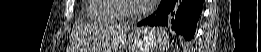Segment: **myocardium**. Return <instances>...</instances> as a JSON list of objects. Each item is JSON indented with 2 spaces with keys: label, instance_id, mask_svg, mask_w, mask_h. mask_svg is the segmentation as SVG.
<instances>
[{
  "label": "myocardium",
  "instance_id": "obj_1",
  "mask_svg": "<svg viewBox=\"0 0 261 52\" xmlns=\"http://www.w3.org/2000/svg\"><path fill=\"white\" fill-rule=\"evenodd\" d=\"M126 1L127 0H121V1H117V3H116L117 9H118V14H119L121 20L124 22L133 21V20L143 16L148 11L147 7H143L142 5L139 4L134 13H127L124 10V6H123V3Z\"/></svg>",
  "mask_w": 261,
  "mask_h": 52
}]
</instances>
